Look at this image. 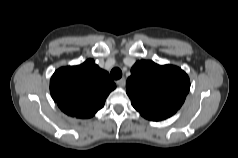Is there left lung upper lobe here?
I'll return each instance as SVG.
<instances>
[{"label":"left lung upper lobe","instance_id":"1","mask_svg":"<svg viewBox=\"0 0 238 158\" xmlns=\"http://www.w3.org/2000/svg\"><path fill=\"white\" fill-rule=\"evenodd\" d=\"M189 89V77L182 69L146 60L135 63L126 82V92L133 107L153 121L175 114Z\"/></svg>","mask_w":238,"mask_h":158}]
</instances>
